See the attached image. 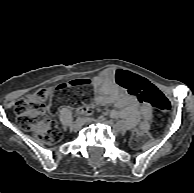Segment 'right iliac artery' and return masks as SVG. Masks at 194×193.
Here are the masks:
<instances>
[{
	"label": "right iliac artery",
	"mask_w": 194,
	"mask_h": 193,
	"mask_svg": "<svg viewBox=\"0 0 194 193\" xmlns=\"http://www.w3.org/2000/svg\"><path fill=\"white\" fill-rule=\"evenodd\" d=\"M83 119L82 118H78L76 121L79 122V121H82Z\"/></svg>",
	"instance_id": "obj_1"
}]
</instances>
